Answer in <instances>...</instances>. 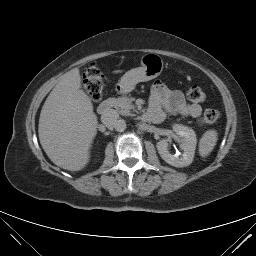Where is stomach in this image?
<instances>
[{
    "instance_id": "0dacf381",
    "label": "stomach",
    "mask_w": 256,
    "mask_h": 256,
    "mask_svg": "<svg viewBox=\"0 0 256 256\" xmlns=\"http://www.w3.org/2000/svg\"><path fill=\"white\" fill-rule=\"evenodd\" d=\"M164 62L157 54H145L141 58V67L131 69L126 72L116 85V90L120 94L131 92L136 84L152 80L160 75Z\"/></svg>"
}]
</instances>
